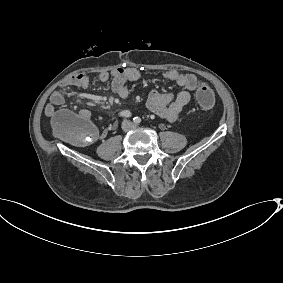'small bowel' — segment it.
<instances>
[{
	"label": "small bowel",
	"instance_id": "obj_1",
	"mask_svg": "<svg viewBox=\"0 0 283 283\" xmlns=\"http://www.w3.org/2000/svg\"><path fill=\"white\" fill-rule=\"evenodd\" d=\"M164 78L175 82L182 88L177 94L162 93L152 89L149 93L146 107L149 111L159 116L160 118L174 122L179 117L183 108L190 102L191 93L197 89L198 81L195 75L188 73H181L177 70H169L164 73ZM141 79L139 70L131 67L118 68L112 72H102L99 74L101 82L111 80V89L122 99H126L129 95L127 82L138 81ZM90 84V79L86 74L79 73L67 77L61 84V88L70 86L86 88ZM65 103V97L62 91H54L50 96V102L45 107V114L49 117H54L56 108ZM80 115L89 118L90 112L83 109Z\"/></svg>",
	"mask_w": 283,
	"mask_h": 283
}]
</instances>
